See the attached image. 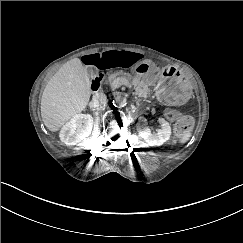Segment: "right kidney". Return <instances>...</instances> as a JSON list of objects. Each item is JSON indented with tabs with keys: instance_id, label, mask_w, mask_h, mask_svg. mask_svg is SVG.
Listing matches in <instances>:
<instances>
[{
	"instance_id": "1",
	"label": "right kidney",
	"mask_w": 243,
	"mask_h": 243,
	"mask_svg": "<svg viewBox=\"0 0 243 243\" xmlns=\"http://www.w3.org/2000/svg\"><path fill=\"white\" fill-rule=\"evenodd\" d=\"M93 124V118L88 114H75L71 121L66 123L60 132V139L66 145H76L80 143L86 135L88 128Z\"/></svg>"
}]
</instances>
